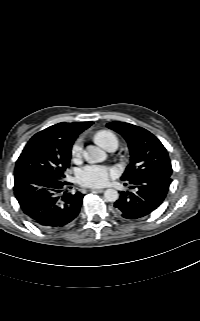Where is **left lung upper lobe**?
Returning a JSON list of instances; mask_svg holds the SVG:
<instances>
[{
	"label": "left lung upper lobe",
	"mask_w": 200,
	"mask_h": 321,
	"mask_svg": "<svg viewBox=\"0 0 200 321\" xmlns=\"http://www.w3.org/2000/svg\"><path fill=\"white\" fill-rule=\"evenodd\" d=\"M107 127L121 134L129 146L131 162L122 175V180L149 175L171 176L172 166L167 150L152 133L117 121L108 123Z\"/></svg>",
	"instance_id": "1"
}]
</instances>
